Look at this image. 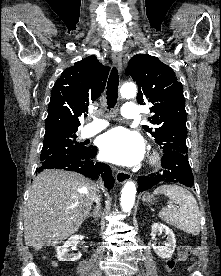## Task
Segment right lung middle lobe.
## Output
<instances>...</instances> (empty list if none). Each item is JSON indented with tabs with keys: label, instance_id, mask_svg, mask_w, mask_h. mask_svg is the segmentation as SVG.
<instances>
[{
	"label": "right lung middle lobe",
	"instance_id": "obj_1",
	"mask_svg": "<svg viewBox=\"0 0 221 276\" xmlns=\"http://www.w3.org/2000/svg\"><path fill=\"white\" fill-rule=\"evenodd\" d=\"M76 132H55L45 134L40 160L81 155L89 151L82 143L76 142Z\"/></svg>",
	"mask_w": 221,
	"mask_h": 276
}]
</instances>
